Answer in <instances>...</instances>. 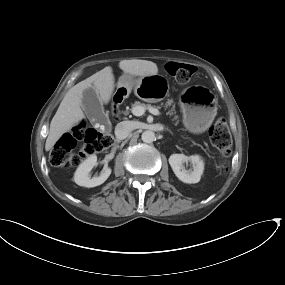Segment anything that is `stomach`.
Masks as SVG:
<instances>
[{
    "label": "stomach",
    "mask_w": 285,
    "mask_h": 285,
    "mask_svg": "<svg viewBox=\"0 0 285 285\" xmlns=\"http://www.w3.org/2000/svg\"><path fill=\"white\" fill-rule=\"evenodd\" d=\"M162 75L144 76L135 80L130 74H123L118 81V88L128 92L135 89L136 95L147 101L157 99L146 92L148 86H158L165 82ZM180 106L183 112V124L192 133H202L211 125L216 115V101L212 93L205 87L193 86L185 89L180 96Z\"/></svg>",
    "instance_id": "obj_1"
}]
</instances>
